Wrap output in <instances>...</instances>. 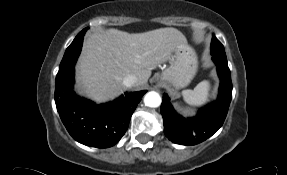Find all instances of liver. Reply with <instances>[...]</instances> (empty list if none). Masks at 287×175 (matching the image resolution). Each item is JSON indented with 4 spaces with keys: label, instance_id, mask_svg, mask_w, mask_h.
<instances>
[{
    "label": "liver",
    "instance_id": "liver-1",
    "mask_svg": "<svg viewBox=\"0 0 287 175\" xmlns=\"http://www.w3.org/2000/svg\"><path fill=\"white\" fill-rule=\"evenodd\" d=\"M185 36L175 28L130 34L117 29L95 32L84 42L76 68L77 88L97 102L125 90L123 79L135 75L137 86L147 84L152 70L171 59Z\"/></svg>",
    "mask_w": 287,
    "mask_h": 175
}]
</instances>
